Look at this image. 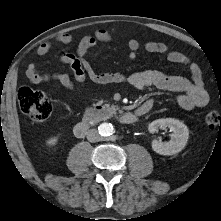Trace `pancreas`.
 <instances>
[{"mask_svg":"<svg viewBox=\"0 0 221 221\" xmlns=\"http://www.w3.org/2000/svg\"><path fill=\"white\" fill-rule=\"evenodd\" d=\"M113 114H115V109H114V108H112V109L110 110L109 115H108L107 117H110V116H112ZM85 118H86L88 121H90V122L96 123V122H98V121H100V120L105 119L106 117H87V116H85Z\"/></svg>","mask_w":221,"mask_h":221,"instance_id":"pancreas-1","label":"pancreas"}]
</instances>
